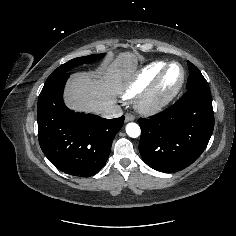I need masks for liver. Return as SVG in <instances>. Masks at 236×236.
<instances>
[{
	"label": "liver",
	"instance_id": "liver-1",
	"mask_svg": "<svg viewBox=\"0 0 236 236\" xmlns=\"http://www.w3.org/2000/svg\"><path fill=\"white\" fill-rule=\"evenodd\" d=\"M135 62L134 54L124 52L96 74H73L65 90L67 106L75 111L100 113L113 105L123 80L130 74Z\"/></svg>",
	"mask_w": 236,
	"mask_h": 236
}]
</instances>
